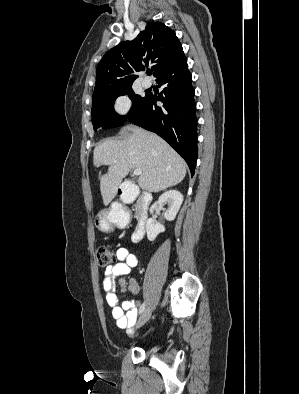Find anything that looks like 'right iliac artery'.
<instances>
[{
  "mask_svg": "<svg viewBox=\"0 0 299 394\" xmlns=\"http://www.w3.org/2000/svg\"><path fill=\"white\" fill-rule=\"evenodd\" d=\"M145 306H146L145 302L142 303V305L139 308V314H141L145 310Z\"/></svg>",
  "mask_w": 299,
  "mask_h": 394,
  "instance_id": "1",
  "label": "right iliac artery"
}]
</instances>
